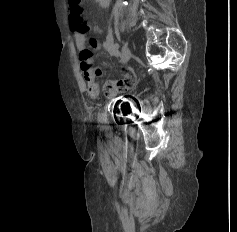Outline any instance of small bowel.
I'll use <instances>...</instances> for the list:
<instances>
[{"label":"small bowel","instance_id":"small-bowel-1","mask_svg":"<svg viewBox=\"0 0 237 232\" xmlns=\"http://www.w3.org/2000/svg\"><path fill=\"white\" fill-rule=\"evenodd\" d=\"M75 43L79 53L80 67L87 85V91L91 98H96L99 95V86L97 76L100 71L95 68L93 60V52L100 50L110 55H117V50L114 47L112 39L107 40L103 46H100L95 41L88 43L86 33L75 32ZM134 82V72L127 68L122 71V76L118 80H111L104 85V93L107 97L113 98L118 94L127 91Z\"/></svg>","mask_w":237,"mask_h":232}]
</instances>
